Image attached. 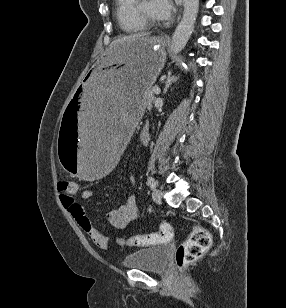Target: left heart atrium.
Wrapping results in <instances>:
<instances>
[{
  "label": "left heart atrium",
  "instance_id": "39dd6f15",
  "mask_svg": "<svg viewBox=\"0 0 286 308\" xmlns=\"http://www.w3.org/2000/svg\"><path fill=\"white\" fill-rule=\"evenodd\" d=\"M152 6L159 19L169 18L174 9L171 0H152Z\"/></svg>",
  "mask_w": 286,
  "mask_h": 308
}]
</instances>
